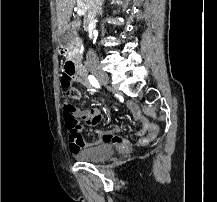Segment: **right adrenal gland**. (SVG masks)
<instances>
[{
    "mask_svg": "<svg viewBox=\"0 0 217 202\" xmlns=\"http://www.w3.org/2000/svg\"><path fill=\"white\" fill-rule=\"evenodd\" d=\"M104 2H105V0H101L100 4L98 6V10H97V16H100Z\"/></svg>",
    "mask_w": 217,
    "mask_h": 202,
    "instance_id": "obj_1",
    "label": "right adrenal gland"
}]
</instances>
